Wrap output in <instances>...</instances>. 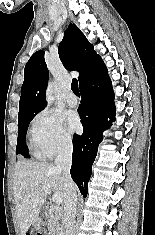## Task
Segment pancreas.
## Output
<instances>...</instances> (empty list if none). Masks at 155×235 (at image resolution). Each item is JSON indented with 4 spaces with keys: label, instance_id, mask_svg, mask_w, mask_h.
I'll return each instance as SVG.
<instances>
[{
    "label": "pancreas",
    "instance_id": "1",
    "mask_svg": "<svg viewBox=\"0 0 155 235\" xmlns=\"http://www.w3.org/2000/svg\"><path fill=\"white\" fill-rule=\"evenodd\" d=\"M48 229L52 235H63L62 225L59 223L57 216H52L48 222Z\"/></svg>",
    "mask_w": 155,
    "mask_h": 235
}]
</instances>
